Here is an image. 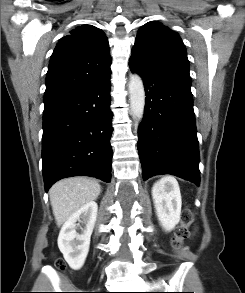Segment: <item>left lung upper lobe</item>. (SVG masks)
Here are the masks:
<instances>
[{"mask_svg":"<svg viewBox=\"0 0 245 293\" xmlns=\"http://www.w3.org/2000/svg\"><path fill=\"white\" fill-rule=\"evenodd\" d=\"M133 57L191 84L189 61L179 35L159 22L142 26L132 49Z\"/></svg>","mask_w":245,"mask_h":293,"instance_id":"left-lung-upper-lobe-1","label":"left lung upper lobe"}]
</instances>
